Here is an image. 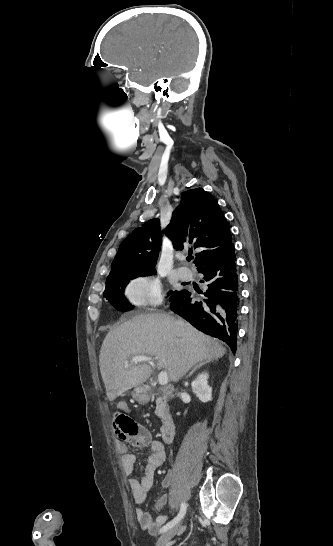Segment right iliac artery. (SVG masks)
I'll list each match as a JSON object with an SVG mask.
<instances>
[{
  "label": "right iliac artery",
  "instance_id": "82829eb1",
  "mask_svg": "<svg viewBox=\"0 0 333 546\" xmlns=\"http://www.w3.org/2000/svg\"><path fill=\"white\" fill-rule=\"evenodd\" d=\"M186 504L183 502L181 504V508H180V511L178 513V515L173 519L171 520L170 522H168L165 526H163L161 529H160V533L162 532H165L167 531L168 529L172 528L173 526H175L177 523L180 522V520L184 517L185 513H186Z\"/></svg>",
  "mask_w": 333,
  "mask_h": 546
}]
</instances>
